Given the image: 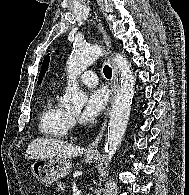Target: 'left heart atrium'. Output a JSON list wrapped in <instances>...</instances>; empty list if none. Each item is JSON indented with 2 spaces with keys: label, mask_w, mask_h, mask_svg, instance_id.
<instances>
[{
  "label": "left heart atrium",
  "mask_w": 189,
  "mask_h": 195,
  "mask_svg": "<svg viewBox=\"0 0 189 195\" xmlns=\"http://www.w3.org/2000/svg\"><path fill=\"white\" fill-rule=\"evenodd\" d=\"M108 98V92L104 87L91 90L80 115V121L82 123H88L96 119L103 111Z\"/></svg>",
  "instance_id": "39dd6f15"
}]
</instances>
